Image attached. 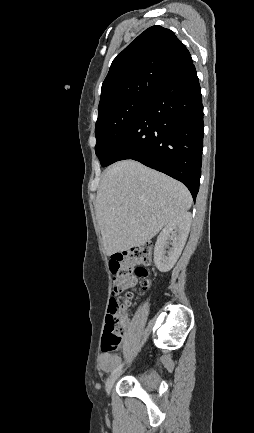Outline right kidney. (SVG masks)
Here are the masks:
<instances>
[{"label": "right kidney", "instance_id": "ca27d5eb", "mask_svg": "<svg viewBox=\"0 0 254 433\" xmlns=\"http://www.w3.org/2000/svg\"><path fill=\"white\" fill-rule=\"evenodd\" d=\"M191 220V214L186 212L160 232L154 248V263L160 272H168L178 260L189 234Z\"/></svg>", "mask_w": 254, "mask_h": 433}]
</instances>
